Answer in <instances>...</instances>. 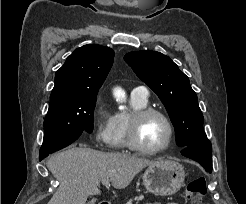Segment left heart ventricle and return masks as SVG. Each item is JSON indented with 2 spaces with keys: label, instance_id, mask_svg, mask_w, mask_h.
Instances as JSON below:
<instances>
[{
  "label": "left heart ventricle",
  "instance_id": "obj_1",
  "mask_svg": "<svg viewBox=\"0 0 246 204\" xmlns=\"http://www.w3.org/2000/svg\"><path fill=\"white\" fill-rule=\"evenodd\" d=\"M168 137V127L165 121L152 115L145 119L139 131V140L147 148L155 149L164 145Z\"/></svg>",
  "mask_w": 246,
  "mask_h": 204
}]
</instances>
